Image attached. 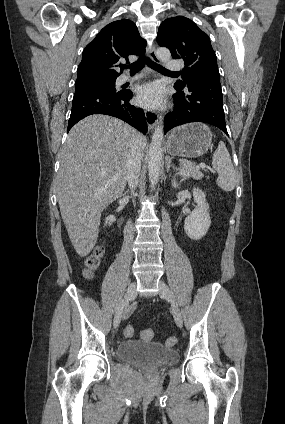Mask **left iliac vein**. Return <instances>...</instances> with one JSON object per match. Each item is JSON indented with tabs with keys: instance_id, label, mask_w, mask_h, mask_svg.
Here are the masks:
<instances>
[{
	"instance_id": "obj_1",
	"label": "left iliac vein",
	"mask_w": 285,
	"mask_h": 424,
	"mask_svg": "<svg viewBox=\"0 0 285 424\" xmlns=\"http://www.w3.org/2000/svg\"><path fill=\"white\" fill-rule=\"evenodd\" d=\"M159 295L161 298L166 299L171 304L174 320L178 327H182L183 321L181 312L168 286L163 281L159 282Z\"/></svg>"
}]
</instances>
